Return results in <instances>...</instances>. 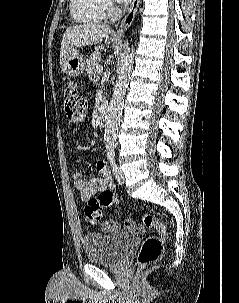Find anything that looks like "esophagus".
Returning <instances> with one entry per match:
<instances>
[{"instance_id": "esophagus-1", "label": "esophagus", "mask_w": 239, "mask_h": 303, "mask_svg": "<svg viewBox=\"0 0 239 303\" xmlns=\"http://www.w3.org/2000/svg\"><path fill=\"white\" fill-rule=\"evenodd\" d=\"M140 0H133L128 10L127 15L121 22L120 27L113 33L115 37H123L127 29L132 25L135 15L137 13Z\"/></svg>"}]
</instances>
